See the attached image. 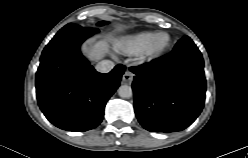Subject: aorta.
Wrapping results in <instances>:
<instances>
[{
	"label": "aorta",
	"instance_id": "1",
	"mask_svg": "<svg viewBox=\"0 0 248 158\" xmlns=\"http://www.w3.org/2000/svg\"><path fill=\"white\" fill-rule=\"evenodd\" d=\"M118 94L121 98H130L133 95V91L130 86L121 85L118 89Z\"/></svg>",
	"mask_w": 248,
	"mask_h": 158
}]
</instances>
